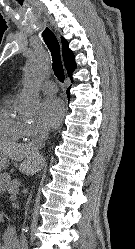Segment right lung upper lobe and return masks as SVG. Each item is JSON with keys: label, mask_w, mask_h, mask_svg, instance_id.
Segmentation results:
<instances>
[{"label": "right lung upper lobe", "mask_w": 135, "mask_h": 249, "mask_svg": "<svg viewBox=\"0 0 135 249\" xmlns=\"http://www.w3.org/2000/svg\"><path fill=\"white\" fill-rule=\"evenodd\" d=\"M63 44V58L68 75L70 76L76 68L75 57L73 52L69 49L67 40L61 38Z\"/></svg>", "instance_id": "1"}]
</instances>
